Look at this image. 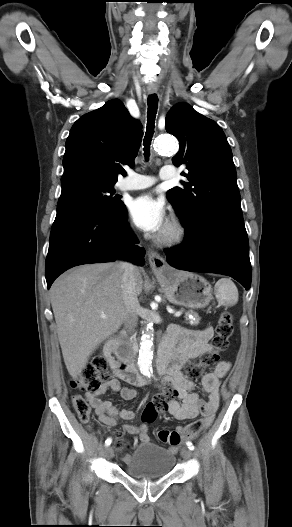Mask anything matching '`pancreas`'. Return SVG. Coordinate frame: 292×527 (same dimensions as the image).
Wrapping results in <instances>:
<instances>
[{
	"label": "pancreas",
	"mask_w": 292,
	"mask_h": 527,
	"mask_svg": "<svg viewBox=\"0 0 292 527\" xmlns=\"http://www.w3.org/2000/svg\"><path fill=\"white\" fill-rule=\"evenodd\" d=\"M182 311H184V310H182ZM185 320H186V323H188L190 325H198L199 321H200V317L195 312L186 311L185 312Z\"/></svg>",
	"instance_id": "cf45deb5"
}]
</instances>
